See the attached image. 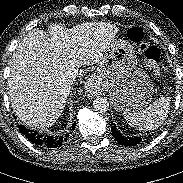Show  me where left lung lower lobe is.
<instances>
[{"label": "left lung lower lobe", "mask_w": 183, "mask_h": 183, "mask_svg": "<svg viewBox=\"0 0 183 183\" xmlns=\"http://www.w3.org/2000/svg\"><path fill=\"white\" fill-rule=\"evenodd\" d=\"M112 135L115 138V140L124 146H135L139 144L142 139L141 137H126L123 136L119 131L116 130L115 126L111 127Z\"/></svg>", "instance_id": "1"}]
</instances>
